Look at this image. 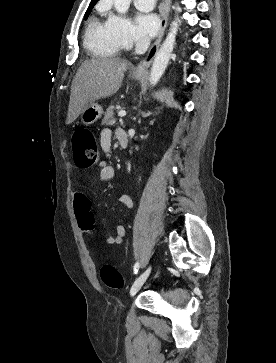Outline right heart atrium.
I'll return each instance as SVG.
<instances>
[{
    "instance_id": "obj_1",
    "label": "right heart atrium",
    "mask_w": 276,
    "mask_h": 363,
    "mask_svg": "<svg viewBox=\"0 0 276 363\" xmlns=\"http://www.w3.org/2000/svg\"><path fill=\"white\" fill-rule=\"evenodd\" d=\"M108 22L122 47L129 48L142 44L143 40L127 18L111 13Z\"/></svg>"
}]
</instances>
